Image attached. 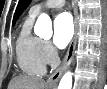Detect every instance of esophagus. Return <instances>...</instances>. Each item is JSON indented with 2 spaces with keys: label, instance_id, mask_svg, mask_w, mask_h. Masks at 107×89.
Instances as JSON below:
<instances>
[{
  "label": "esophagus",
  "instance_id": "34e87169",
  "mask_svg": "<svg viewBox=\"0 0 107 89\" xmlns=\"http://www.w3.org/2000/svg\"><path fill=\"white\" fill-rule=\"evenodd\" d=\"M77 32H78V16H77V11H74V35L73 38L69 44L67 53L63 59L62 64L58 67V69L48 78L47 83L49 85H57L61 75L63 74L64 70L68 67V65L70 64L72 58H73V54H74V50H75V46H76V42H77Z\"/></svg>",
  "mask_w": 107,
  "mask_h": 89
}]
</instances>
